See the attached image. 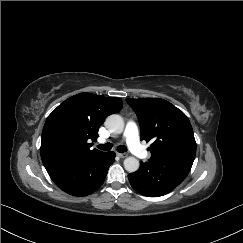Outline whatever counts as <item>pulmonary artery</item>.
<instances>
[{
  "label": "pulmonary artery",
  "mask_w": 243,
  "mask_h": 243,
  "mask_svg": "<svg viewBox=\"0 0 243 243\" xmlns=\"http://www.w3.org/2000/svg\"><path fill=\"white\" fill-rule=\"evenodd\" d=\"M123 136L126 140L128 147L131 149L132 153L139 158H148L147 151L143 148L139 139V128L136 122L129 121L126 124ZM105 140L100 139L99 143H104Z\"/></svg>",
  "instance_id": "e3ab8cb5"
}]
</instances>
